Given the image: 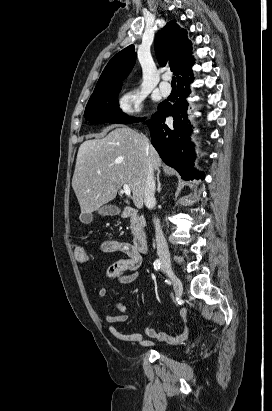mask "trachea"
I'll use <instances>...</instances> for the list:
<instances>
[{"label":"trachea","instance_id":"3493384b","mask_svg":"<svg viewBox=\"0 0 272 411\" xmlns=\"http://www.w3.org/2000/svg\"><path fill=\"white\" fill-rule=\"evenodd\" d=\"M171 85L176 86V78L175 77L172 78Z\"/></svg>","mask_w":272,"mask_h":411}]
</instances>
